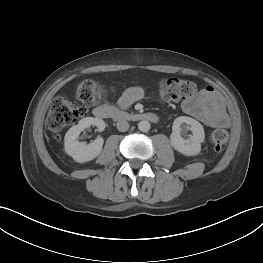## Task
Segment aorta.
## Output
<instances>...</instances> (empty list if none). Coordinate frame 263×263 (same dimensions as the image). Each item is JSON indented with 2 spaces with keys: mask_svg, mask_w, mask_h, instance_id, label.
<instances>
[{
  "mask_svg": "<svg viewBox=\"0 0 263 263\" xmlns=\"http://www.w3.org/2000/svg\"><path fill=\"white\" fill-rule=\"evenodd\" d=\"M150 123L148 121H140L138 123V129L141 131V132H148L150 130Z\"/></svg>",
  "mask_w": 263,
  "mask_h": 263,
  "instance_id": "obj_1",
  "label": "aorta"
}]
</instances>
